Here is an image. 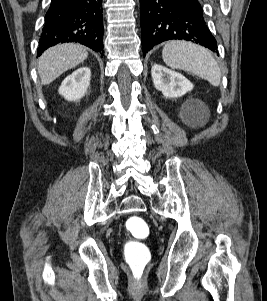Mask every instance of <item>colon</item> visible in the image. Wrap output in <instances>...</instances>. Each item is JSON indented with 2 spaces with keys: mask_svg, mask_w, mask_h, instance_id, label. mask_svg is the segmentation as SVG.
Returning a JSON list of instances; mask_svg holds the SVG:
<instances>
[{
  "mask_svg": "<svg viewBox=\"0 0 267 301\" xmlns=\"http://www.w3.org/2000/svg\"><path fill=\"white\" fill-rule=\"evenodd\" d=\"M126 228L134 238L125 246V257L130 267L133 278L136 281L142 279L146 266L150 260V251L146 244L139 241L149 234V228L144 219L139 216H131L127 220Z\"/></svg>",
  "mask_w": 267,
  "mask_h": 301,
  "instance_id": "colon-1",
  "label": "colon"
}]
</instances>
